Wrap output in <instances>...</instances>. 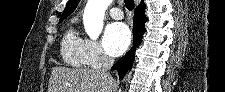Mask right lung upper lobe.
Masks as SVG:
<instances>
[{
	"label": "right lung upper lobe",
	"mask_w": 225,
	"mask_h": 92,
	"mask_svg": "<svg viewBox=\"0 0 225 92\" xmlns=\"http://www.w3.org/2000/svg\"><path fill=\"white\" fill-rule=\"evenodd\" d=\"M80 0H69L65 10L63 11L62 13V16L60 18L61 19H64V18H67L77 7L78 3H79ZM137 9H140V10H145V4H144V1L142 0L141 3L137 6Z\"/></svg>",
	"instance_id": "cb5924a9"
}]
</instances>
